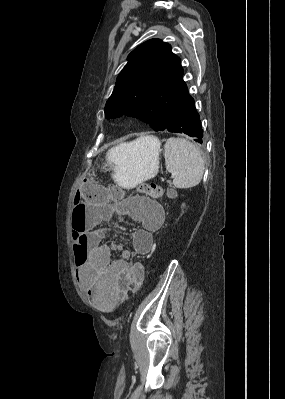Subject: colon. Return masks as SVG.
Returning a JSON list of instances; mask_svg holds the SVG:
<instances>
[{"instance_id": "colon-1", "label": "colon", "mask_w": 285, "mask_h": 399, "mask_svg": "<svg viewBox=\"0 0 285 399\" xmlns=\"http://www.w3.org/2000/svg\"><path fill=\"white\" fill-rule=\"evenodd\" d=\"M80 190L87 192V193L93 192L96 197L101 196V190L99 187V183L94 178H88L85 181H83L80 184ZM136 192L139 195L151 197L153 199L161 198L165 193L163 186H161L159 184H155V183L140 184L137 187ZM106 193H107V196L113 200L123 199L126 195V191L124 189L120 188L119 186L110 187ZM167 194L170 197L174 196V192L172 190H169L167 192ZM77 216L78 215L76 213L75 217H77ZM131 273H132L133 285L136 287H140L144 281L143 265L140 262L135 263L132 267Z\"/></svg>"}]
</instances>
